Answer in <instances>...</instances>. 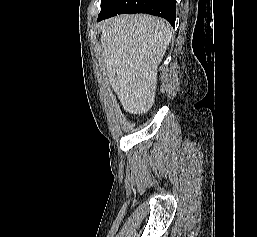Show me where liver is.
<instances>
[{"label": "liver", "instance_id": "6515ba94", "mask_svg": "<svg viewBox=\"0 0 257 237\" xmlns=\"http://www.w3.org/2000/svg\"><path fill=\"white\" fill-rule=\"evenodd\" d=\"M108 81L125 111L145 113L153 106L157 68L172 37L171 26L149 15H120L101 23Z\"/></svg>", "mask_w": 257, "mask_h": 237}]
</instances>
